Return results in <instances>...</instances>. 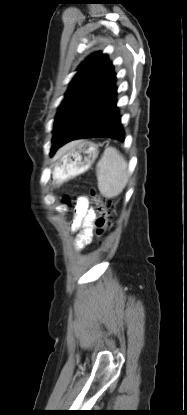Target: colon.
<instances>
[{"mask_svg": "<svg viewBox=\"0 0 187 415\" xmlns=\"http://www.w3.org/2000/svg\"><path fill=\"white\" fill-rule=\"evenodd\" d=\"M91 195L97 212V218L94 223V232L97 236H101L112 225L111 214L113 211V202L111 199L101 196L96 191H92Z\"/></svg>", "mask_w": 187, "mask_h": 415, "instance_id": "obj_1", "label": "colon"}]
</instances>
